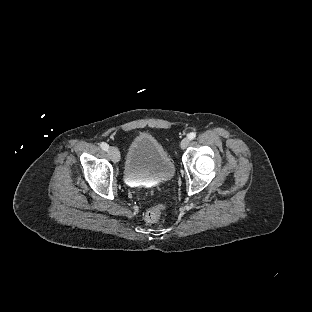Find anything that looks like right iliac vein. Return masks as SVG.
<instances>
[{"label": "right iliac vein", "mask_w": 312, "mask_h": 312, "mask_svg": "<svg viewBox=\"0 0 312 312\" xmlns=\"http://www.w3.org/2000/svg\"><path fill=\"white\" fill-rule=\"evenodd\" d=\"M107 151L109 153L111 160L114 163H117L120 160V153L116 147L110 146Z\"/></svg>", "instance_id": "right-iliac-vein-1"}]
</instances>
